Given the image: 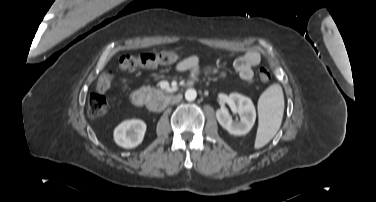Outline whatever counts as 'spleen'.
Here are the masks:
<instances>
[{
    "instance_id": "spleen-1",
    "label": "spleen",
    "mask_w": 376,
    "mask_h": 202,
    "mask_svg": "<svg viewBox=\"0 0 376 202\" xmlns=\"http://www.w3.org/2000/svg\"><path fill=\"white\" fill-rule=\"evenodd\" d=\"M259 126L254 147L259 149L266 145L280 128L284 97L280 85L274 84L267 88L258 101Z\"/></svg>"
}]
</instances>
